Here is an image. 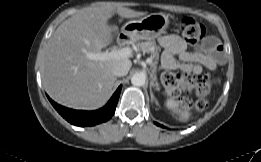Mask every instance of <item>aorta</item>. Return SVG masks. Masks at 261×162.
Returning a JSON list of instances; mask_svg holds the SVG:
<instances>
[{
	"mask_svg": "<svg viewBox=\"0 0 261 162\" xmlns=\"http://www.w3.org/2000/svg\"><path fill=\"white\" fill-rule=\"evenodd\" d=\"M146 81V77L144 74L142 73H135L132 77H131V83L134 86H143L145 84Z\"/></svg>",
	"mask_w": 261,
	"mask_h": 162,
	"instance_id": "obj_1",
	"label": "aorta"
}]
</instances>
